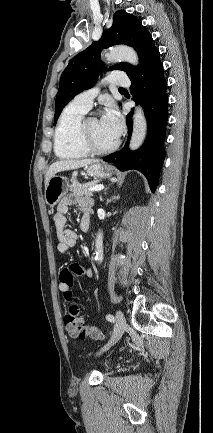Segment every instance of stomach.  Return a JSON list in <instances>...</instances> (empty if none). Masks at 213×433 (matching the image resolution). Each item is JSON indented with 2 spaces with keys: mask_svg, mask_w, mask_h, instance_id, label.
<instances>
[{
  "mask_svg": "<svg viewBox=\"0 0 213 433\" xmlns=\"http://www.w3.org/2000/svg\"><path fill=\"white\" fill-rule=\"evenodd\" d=\"M85 170L89 176L94 178H107L113 174V170L109 165L99 162L86 166ZM68 187L69 183L66 177L53 176L45 187V202L51 207L55 206L67 194Z\"/></svg>",
  "mask_w": 213,
  "mask_h": 433,
  "instance_id": "stomach-1",
  "label": "stomach"
}]
</instances>
